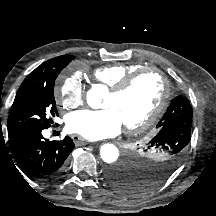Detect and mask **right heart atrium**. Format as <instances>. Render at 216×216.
<instances>
[{
	"label": "right heart atrium",
	"instance_id": "1",
	"mask_svg": "<svg viewBox=\"0 0 216 216\" xmlns=\"http://www.w3.org/2000/svg\"><path fill=\"white\" fill-rule=\"evenodd\" d=\"M56 101L66 108H76L83 103L84 86L75 76L66 77L55 91Z\"/></svg>",
	"mask_w": 216,
	"mask_h": 216
}]
</instances>
